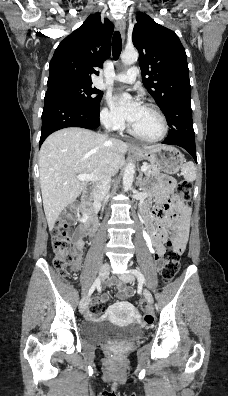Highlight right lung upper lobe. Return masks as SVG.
I'll list each match as a JSON object with an SVG mask.
<instances>
[{
  "label": "right lung upper lobe",
  "mask_w": 228,
  "mask_h": 396,
  "mask_svg": "<svg viewBox=\"0 0 228 396\" xmlns=\"http://www.w3.org/2000/svg\"><path fill=\"white\" fill-rule=\"evenodd\" d=\"M113 24L99 14L90 15L85 22L57 47L49 66L48 86L63 82L92 83L91 75H98L95 67L111 53Z\"/></svg>",
  "instance_id": "right-lung-upper-lobe-1"
}]
</instances>
